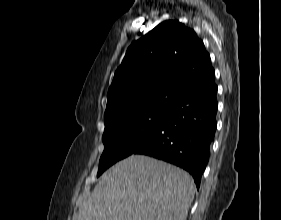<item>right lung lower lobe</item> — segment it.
<instances>
[{
    "mask_svg": "<svg viewBox=\"0 0 281 220\" xmlns=\"http://www.w3.org/2000/svg\"><path fill=\"white\" fill-rule=\"evenodd\" d=\"M217 85L182 97L163 125L133 154H144L188 171L199 188L217 127Z\"/></svg>",
    "mask_w": 281,
    "mask_h": 220,
    "instance_id": "obj_1",
    "label": "right lung lower lobe"
}]
</instances>
